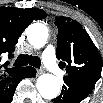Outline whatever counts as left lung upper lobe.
Instances as JSON below:
<instances>
[{"mask_svg": "<svg viewBox=\"0 0 103 103\" xmlns=\"http://www.w3.org/2000/svg\"><path fill=\"white\" fill-rule=\"evenodd\" d=\"M58 27L56 56L65 77L97 81L101 77L102 59L98 49L81 24L67 17H56Z\"/></svg>", "mask_w": 103, "mask_h": 103, "instance_id": "obj_1", "label": "left lung upper lobe"}]
</instances>
